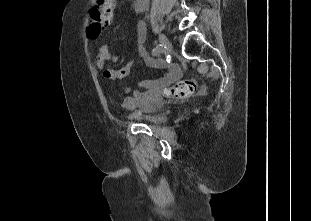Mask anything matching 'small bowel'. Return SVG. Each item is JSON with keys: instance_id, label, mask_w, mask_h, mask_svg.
<instances>
[{"instance_id": "c3829d8e", "label": "small bowel", "mask_w": 311, "mask_h": 221, "mask_svg": "<svg viewBox=\"0 0 311 221\" xmlns=\"http://www.w3.org/2000/svg\"><path fill=\"white\" fill-rule=\"evenodd\" d=\"M146 34L145 27L141 24L138 26V41L140 44V52L144 57L145 53L141 47ZM100 46H107V53L96 54V67L102 71V75L109 81H120L129 75L133 61L128 62L120 68H110L106 66L107 62L116 64L119 62L118 54H111L109 44L103 43ZM164 86V80L147 79L138 83V88L135 90L126 89L127 95L121 100V105L126 109H135L145 107L151 101L155 100Z\"/></svg>"}]
</instances>
